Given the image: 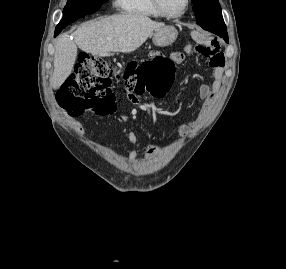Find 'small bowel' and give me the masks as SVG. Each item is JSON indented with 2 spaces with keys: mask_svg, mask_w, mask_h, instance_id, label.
<instances>
[{
  "mask_svg": "<svg viewBox=\"0 0 286 269\" xmlns=\"http://www.w3.org/2000/svg\"><path fill=\"white\" fill-rule=\"evenodd\" d=\"M209 49L204 48L201 51H196L195 48L191 46L186 47V52L194 51L196 54L208 59L210 67L213 69V79L210 83L203 84L200 87L199 95L201 100V105L199 109L198 116L195 119L189 120L185 123H182L178 126V131L183 135H189L192 128L197 126L208 114L212 106L214 96L219 92L223 75H224V65L225 58L223 53L219 50V46L216 42L211 41L209 44ZM174 62L181 64L183 62V55L179 53H173ZM127 99H136V94H127ZM135 106L139 105L138 101L134 102ZM127 140L132 145L131 150L129 151L128 159L130 163H134L137 159L138 153L135 149V145L139 140V135L137 132L131 130L127 133ZM159 149L156 144L149 142L145 150V159L147 161H152L158 154Z\"/></svg>",
  "mask_w": 286,
  "mask_h": 269,
  "instance_id": "obj_1",
  "label": "small bowel"
}]
</instances>
